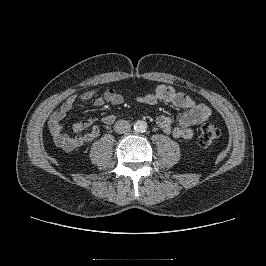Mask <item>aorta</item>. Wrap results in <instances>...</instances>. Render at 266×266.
Listing matches in <instances>:
<instances>
[{"mask_svg": "<svg viewBox=\"0 0 266 266\" xmlns=\"http://www.w3.org/2000/svg\"><path fill=\"white\" fill-rule=\"evenodd\" d=\"M147 129V123L142 120H138L134 124V130L137 132H145Z\"/></svg>", "mask_w": 266, "mask_h": 266, "instance_id": "1", "label": "aorta"}]
</instances>
